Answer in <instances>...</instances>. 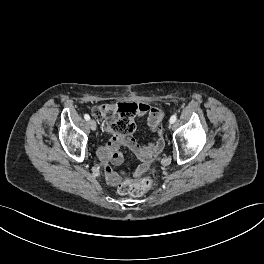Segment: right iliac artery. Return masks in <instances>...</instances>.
I'll list each match as a JSON object with an SVG mask.
<instances>
[{"label": "right iliac artery", "instance_id": "right-iliac-artery-1", "mask_svg": "<svg viewBox=\"0 0 264 264\" xmlns=\"http://www.w3.org/2000/svg\"><path fill=\"white\" fill-rule=\"evenodd\" d=\"M84 118H85L86 121H89L90 120V116L88 114H85L84 115Z\"/></svg>", "mask_w": 264, "mask_h": 264}]
</instances>
